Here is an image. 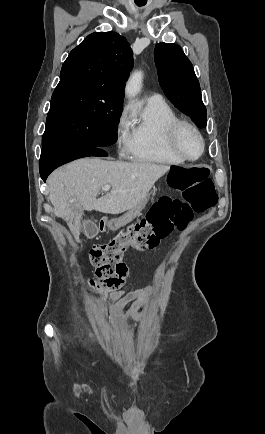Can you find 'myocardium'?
<instances>
[{
  "instance_id": "myocardium-1",
  "label": "myocardium",
  "mask_w": 265,
  "mask_h": 434,
  "mask_svg": "<svg viewBox=\"0 0 265 434\" xmlns=\"http://www.w3.org/2000/svg\"><path fill=\"white\" fill-rule=\"evenodd\" d=\"M186 130L193 132L197 136V138L199 139L200 144H201V152L195 158H189V157L185 156L181 150V147H180V136ZM169 141H170L172 150L174 151L175 155L185 163L197 162L198 160H200L203 157V155L206 151L205 138L203 137V135L201 134L199 129L195 125H193L192 123H190L188 121L178 119L173 124L172 129H171V135L169 136Z\"/></svg>"
}]
</instances>
